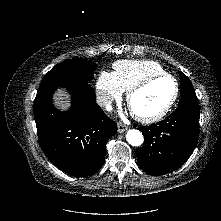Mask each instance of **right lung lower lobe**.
Here are the masks:
<instances>
[{
    "label": "right lung lower lobe",
    "mask_w": 221,
    "mask_h": 221,
    "mask_svg": "<svg viewBox=\"0 0 221 221\" xmlns=\"http://www.w3.org/2000/svg\"><path fill=\"white\" fill-rule=\"evenodd\" d=\"M62 86L72 93V106L65 113L52 104L58 86L37 91L34 118L38 141L47 158L63 172L91 176L104 164L106 143L117 132V125L97 105L87 81Z\"/></svg>",
    "instance_id": "obj_1"
}]
</instances>
